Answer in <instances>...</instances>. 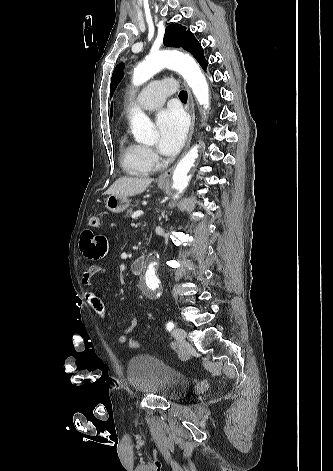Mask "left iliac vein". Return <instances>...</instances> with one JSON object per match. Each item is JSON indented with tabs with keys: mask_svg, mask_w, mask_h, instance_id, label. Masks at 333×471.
Segmentation results:
<instances>
[{
	"mask_svg": "<svg viewBox=\"0 0 333 471\" xmlns=\"http://www.w3.org/2000/svg\"><path fill=\"white\" fill-rule=\"evenodd\" d=\"M172 335L176 341L182 342L185 340L187 333L184 329L177 327L172 331Z\"/></svg>",
	"mask_w": 333,
	"mask_h": 471,
	"instance_id": "obj_1",
	"label": "left iliac vein"
}]
</instances>
